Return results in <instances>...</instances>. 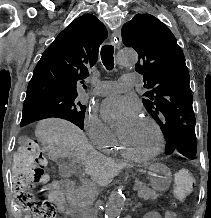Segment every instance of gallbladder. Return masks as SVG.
Instances as JSON below:
<instances>
[{
	"instance_id": "obj_1",
	"label": "gallbladder",
	"mask_w": 211,
	"mask_h": 218,
	"mask_svg": "<svg viewBox=\"0 0 211 218\" xmlns=\"http://www.w3.org/2000/svg\"><path fill=\"white\" fill-rule=\"evenodd\" d=\"M56 164L61 178H71L73 175H81L82 171H84V166H76L73 160H68V162L57 160Z\"/></svg>"
}]
</instances>
